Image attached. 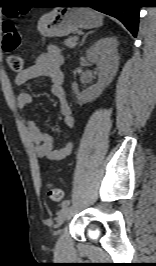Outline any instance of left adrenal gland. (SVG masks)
Instances as JSON below:
<instances>
[{"label":"left adrenal gland","instance_id":"a2214340","mask_svg":"<svg viewBox=\"0 0 156 266\" xmlns=\"http://www.w3.org/2000/svg\"><path fill=\"white\" fill-rule=\"evenodd\" d=\"M90 33H92V32H89V33H87V34L84 35V37L82 38V42H81V43L84 42L85 38H86Z\"/></svg>","mask_w":156,"mask_h":266}]
</instances>
